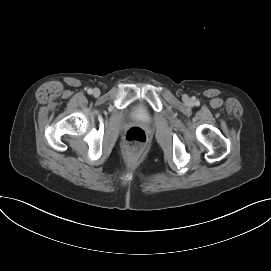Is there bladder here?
<instances>
[{"instance_id":"31cf9c89","label":"bladder","mask_w":271,"mask_h":271,"mask_svg":"<svg viewBox=\"0 0 271 271\" xmlns=\"http://www.w3.org/2000/svg\"><path fill=\"white\" fill-rule=\"evenodd\" d=\"M133 118L140 120V121H148L149 120V114L147 111L141 107H137L133 110L132 113Z\"/></svg>"}]
</instances>
